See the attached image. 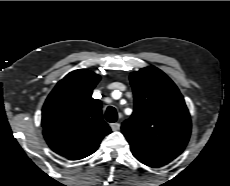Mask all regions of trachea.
<instances>
[{
    "label": "trachea",
    "mask_w": 230,
    "mask_h": 186,
    "mask_svg": "<svg viewBox=\"0 0 230 186\" xmlns=\"http://www.w3.org/2000/svg\"><path fill=\"white\" fill-rule=\"evenodd\" d=\"M105 118L108 122L114 123L117 120V111L114 107L109 106L106 109Z\"/></svg>",
    "instance_id": "3493384b"
}]
</instances>
